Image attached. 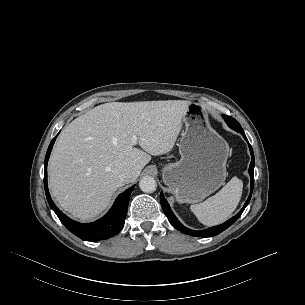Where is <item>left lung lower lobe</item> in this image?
<instances>
[{
    "label": "left lung lower lobe",
    "instance_id": "obj_1",
    "mask_svg": "<svg viewBox=\"0 0 305 305\" xmlns=\"http://www.w3.org/2000/svg\"><path fill=\"white\" fill-rule=\"evenodd\" d=\"M240 133L243 135V137L248 142L244 131H242ZM248 144H249V142H248ZM249 149H250L251 156H252V160H251V163H250V166H249V174H250V177H251V192H250V195H249L246 203L244 204L243 208L240 210V212L238 214H236L234 217H232L231 219H229L228 221H226L225 223L221 224V225L214 226V227H211L209 229L202 230V231H194V230H190V229L186 228L185 226H183L177 220V218L175 217V215L171 211V209L169 207V204L167 203V200L164 198L163 193L161 192L160 199H161V204H162V208L164 210V213L166 214L170 223L176 229L180 230L181 232H183L185 234L195 236V237H212L214 235H218L219 233H221L222 231L227 229L229 226H231L240 217V215L243 213L244 209L246 208V206L248 205V203L250 201L253 186H254V164H255V160H254L253 150H252V147H251L250 144H249Z\"/></svg>",
    "mask_w": 305,
    "mask_h": 305
}]
</instances>
